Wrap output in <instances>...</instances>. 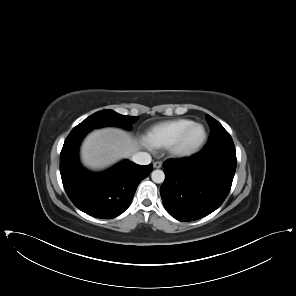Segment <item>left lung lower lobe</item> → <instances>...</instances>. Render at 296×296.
<instances>
[{"label":"left lung lower lobe","instance_id":"1","mask_svg":"<svg viewBox=\"0 0 296 296\" xmlns=\"http://www.w3.org/2000/svg\"><path fill=\"white\" fill-rule=\"evenodd\" d=\"M236 165L231 151L166 161L160 193L167 212L179 221H192L215 211L230 191Z\"/></svg>","mask_w":296,"mask_h":296}]
</instances>
